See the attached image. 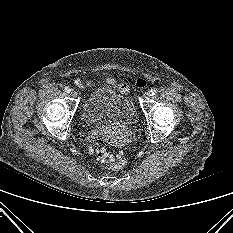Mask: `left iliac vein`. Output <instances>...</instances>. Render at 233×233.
<instances>
[{
    "label": "left iliac vein",
    "instance_id": "obj_1",
    "mask_svg": "<svg viewBox=\"0 0 233 233\" xmlns=\"http://www.w3.org/2000/svg\"><path fill=\"white\" fill-rule=\"evenodd\" d=\"M150 97H151V93H150V92H146V93L143 95V99H144V100H148V99H150Z\"/></svg>",
    "mask_w": 233,
    "mask_h": 233
}]
</instances>
